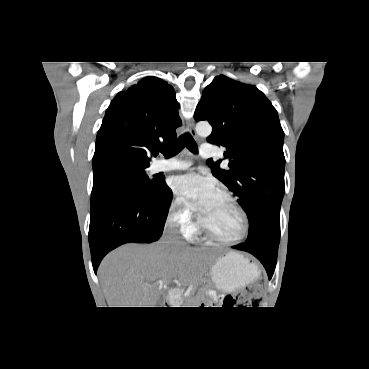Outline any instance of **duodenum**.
I'll return each instance as SVG.
<instances>
[{
    "label": "duodenum",
    "instance_id": "1",
    "mask_svg": "<svg viewBox=\"0 0 369 369\" xmlns=\"http://www.w3.org/2000/svg\"><path fill=\"white\" fill-rule=\"evenodd\" d=\"M173 297H174L173 292H170V293H169V299H173Z\"/></svg>",
    "mask_w": 369,
    "mask_h": 369
}]
</instances>
